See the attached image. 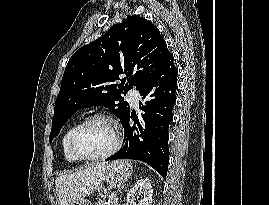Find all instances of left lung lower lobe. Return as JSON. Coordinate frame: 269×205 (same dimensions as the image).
I'll use <instances>...</instances> for the list:
<instances>
[{
  "mask_svg": "<svg viewBox=\"0 0 269 205\" xmlns=\"http://www.w3.org/2000/svg\"><path fill=\"white\" fill-rule=\"evenodd\" d=\"M177 68L170 53L156 75L139 92L144 99L156 86L154 97L141 105L142 113L138 117L130 110L124 117L125 145L116 154L106 160L134 159L153 167L165 179L169 162L168 128L173 119L172 109L176 102ZM130 118L134 124L130 125Z\"/></svg>",
  "mask_w": 269,
  "mask_h": 205,
  "instance_id": "obj_1",
  "label": "left lung lower lobe"
}]
</instances>
